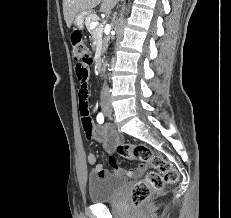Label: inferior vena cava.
Instances as JSON below:
<instances>
[{
  "label": "inferior vena cava",
  "mask_w": 231,
  "mask_h": 218,
  "mask_svg": "<svg viewBox=\"0 0 231 218\" xmlns=\"http://www.w3.org/2000/svg\"><path fill=\"white\" fill-rule=\"evenodd\" d=\"M109 89H108V86L107 85H105L104 87H103V89H102V92H101V99L102 100H105V99H107L108 97H109Z\"/></svg>",
  "instance_id": "obj_1"
}]
</instances>
